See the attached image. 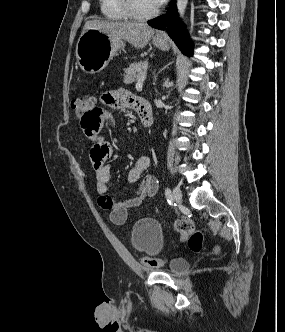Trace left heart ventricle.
<instances>
[{"label": "left heart ventricle", "mask_w": 285, "mask_h": 332, "mask_svg": "<svg viewBox=\"0 0 285 332\" xmlns=\"http://www.w3.org/2000/svg\"><path fill=\"white\" fill-rule=\"evenodd\" d=\"M135 2L141 13H149L157 8L152 0H135Z\"/></svg>", "instance_id": "b2bd125f"}]
</instances>
